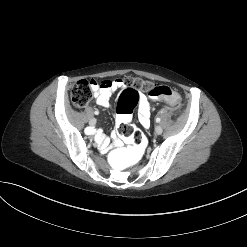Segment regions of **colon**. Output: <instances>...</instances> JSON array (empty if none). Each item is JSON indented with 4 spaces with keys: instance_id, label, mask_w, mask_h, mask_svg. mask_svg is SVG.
I'll return each mask as SVG.
<instances>
[{
    "instance_id": "1",
    "label": "colon",
    "mask_w": 247,
    "mask_h": 247,
    "mask_svg": "<svg viewBox=\"0 0 247 247\" xmlns=\"http://www.w3.org/2000/svg\"><path fill=\"white\" fill-rule=\"evenodd\" d=\"M127 88L120 94L116 106L117 133L120 138L127 142L124 148H117L110 152L108 160L112 167L117 169H128L139 163L146 148L147 141L143 133L137 130L132 123V112L139 102V91H147L153 99H162L169 104H176L178 95L164 85H153L141 78H129L125 80ZM94 81L80 80L71 90L73 104L85 107L93 93Z\"/></svg>"
}]
</instances>
